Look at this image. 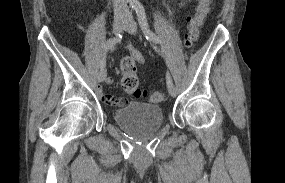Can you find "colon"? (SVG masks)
Instances as JSON below:
<instances>
[{"instance_id":"colon-1","label":"colon","mask_w":285,"mask_h":183,"mask_svg":"<svg viewBox=\"0 0 285 183\" xmlns=\"http://www.w3.org/2000/svg\"><path fill=\"white\" fill-rule=\"evenodd\" d=\"M213 0H196V7L192 14L187 17L188 33L185 45L192 49L199 37V28L201 27L205 16L209 11V6ZM121 86L123 90L136 98L142 97L144 92L140 88V81L137 76V65L132 57H125L120 65ZM147 97L152 103H161L167 100L168 96L163 91H151ZM115 105H121L122 101L116 97L111 99Z\"/></svg>"}]
</instances>
